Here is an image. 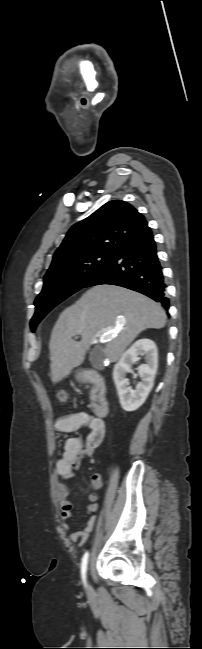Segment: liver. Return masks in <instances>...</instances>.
<instances>
[{
    "label": "liver",
    "instance_id": "1",
    "mask_svg": "<svg viewBox=\"0 0 202 649\" xmlns=\"http://www.w3.org/2000/svg\"><path fill=\"white\" fill-rule=\"evenodd\" d=\"M165 324L163 308L149 297L115 285L92 287L54 325L49 342L52 382H60L83 363L97 334L113 331L103 353L115 362L140 332ZM75 335L81 336L80 342L72 339Z\"/></svg>",
    "mask_w": 202,
    "mask_h": 649
}]
</instances>
